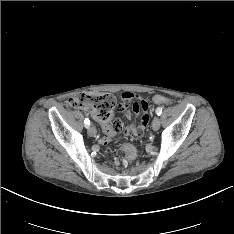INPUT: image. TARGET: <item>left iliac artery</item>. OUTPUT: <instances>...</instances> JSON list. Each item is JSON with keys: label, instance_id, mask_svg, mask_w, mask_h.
<instances>
[{"label": "left iliac artery", "instance_id": "1", "mask_svg": "<svg viewBox=\"0 0 234 234\" xmlns=\"http://www.w3.org/2000/svg\"><path fill=\"white\" fill-rule=\"evenodd\" d=\"M156 114L159 116V115H161V113H162V108L161 107H157V109H156Z\"/></svg>", "mask_w": 234, "mask_h": 234}]
</instances>
